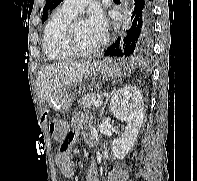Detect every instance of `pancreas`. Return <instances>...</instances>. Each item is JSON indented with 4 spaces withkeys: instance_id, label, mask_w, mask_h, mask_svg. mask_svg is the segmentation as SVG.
Masks as SVG:
<instances>
[{
    "instance_id": "pancreas-1",
    "label": "pancreas",
    "mask_w": 197,
    "mask_h": 181,
    "mask_svg": "<svg viewBox=\"0 0 197 181\" xmlns=\"http://www.w3.org/2000/svg\"><path fill=\"white\" fill-rule=\"evenodd\" d=\"M102 95L99 92H93L91 94H85L79 101L78 104L82 108H92L96 101L101 100Z\"/></svg>"
}]
</instances>
